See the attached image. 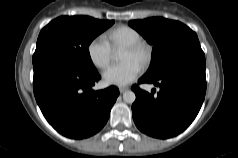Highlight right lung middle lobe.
<instances>
[{
  "label": "right lung middle lobe",
  "instance_id": "dd1d6c3e",
  "mask_svg": "<svg viewBox=\"0 0 238 158\" xmlns=\"http://www.w3.org/2000/svg\"><path fill=\"white\" fill-rule=\"evenodd\" d=\"M114 23L88 16H61L40 32L33 60L43 56L60 58L85 72H94L88 47L92 40Z\"/></svg>",
  "mask_w": 238,
  "mask_h": 158
}]
</instances>
